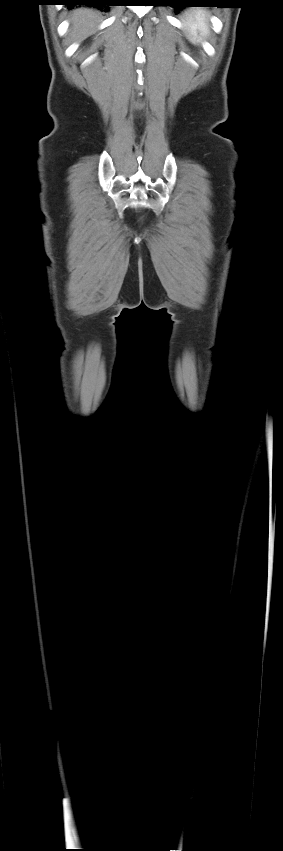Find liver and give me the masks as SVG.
<instances>
[{
    "instance_id": "6515ba94",
    "label": "liver",
    "mask_w": 283,
    "mask_h": 851,
    "mask_svg": "<svg viewBox=\"0 0 283 851\" xmlns=\"http://www.w3.org/2000/svg\"><path fill=\"white\" fill-rule=\"evenodd\" d=\"M69 41L77 42L91 35L100 22V15L89 8H78L70 16Z\"/></svg>"
}]
</instances>
